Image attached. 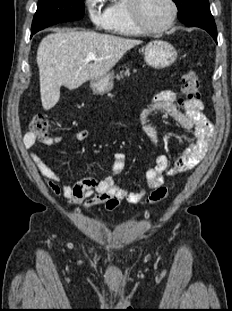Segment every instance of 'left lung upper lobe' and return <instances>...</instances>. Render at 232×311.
Listing matches in <instances>:
<instances>
[{"label": "left lung upper lobe", "instance_id": "left-lung-upper-lobe-1", "mask_svg": "<svg viewBox=\"0 0 232 311\" xmlns=\"http://www.w3.org/2000/svg\"><path fill=\"white\" fill-rule=\"evenodd\" d=\"M178 8L180 21L190 17L202 9L209 7L208 0H173Z\"/></svg>", "mask_w": 232, "mask_h": 311}]
</instances>
